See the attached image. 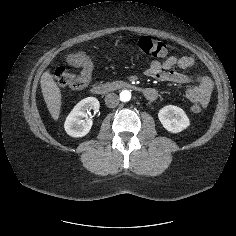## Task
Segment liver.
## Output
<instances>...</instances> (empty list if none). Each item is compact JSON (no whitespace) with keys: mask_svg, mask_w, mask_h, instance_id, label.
<instances>
[{"mask_svg":"<svg viewBox=\"0 0 236 236\" xmlns=\"http://www.w3.org/2000/svg\"><path fill=\"white\" fill-rule=\"evenodd\" d=\"M40 83L47 108L52 118L56 121L59 118L61 109V90L49 70L42 74Z\"/></svg>","mask_w":236,"mask_h":236,"instance_id":"1","label":"liver"}]
</instances>
